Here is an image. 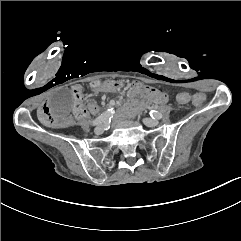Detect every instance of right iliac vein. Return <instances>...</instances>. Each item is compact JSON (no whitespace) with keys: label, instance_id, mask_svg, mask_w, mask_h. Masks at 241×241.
<instances>
[{"label":"right iliac vein","instance_id":"63e3f726","mask_svg":"<svg viewBox=\"0 0 241 241\" xmlns=\"http://www.w3.org/2000/svg\"><path fill=\"white\" fill-rule=\"evenodd\" d=\"M94 132H95V134H97V135L102 134V133L104 132V127H103V125L97 126V127L95 128Z\"/></svg>","mask_w":241,"mask_h":241}]
</instances>
